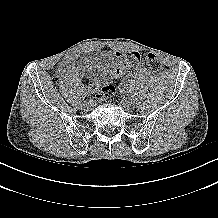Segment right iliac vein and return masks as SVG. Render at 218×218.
<instances>
[{
  "mask_svg": "<svg viewBox=\"0 0 218 218\" xmlns=\"http://www.w3.org/2000/svg\"><path fill=\"white\" fill-rule=\"evenodd\" d=\"M92 105H93L92 101H90V100L85 101L82 105V108H83V110L88 111L91 109Z\"/></svg>",
  "mask_w": 218,
  "mask_h": 218,
  "instance_id": "1",
  "label": "right iliac vein"
}]
</instances>
